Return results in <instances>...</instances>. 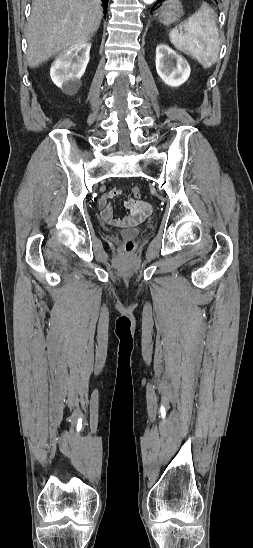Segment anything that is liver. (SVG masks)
Segmentation results:
<instances>
[{
	"mask_svg": "<svg viewBox=\"0 0 253 548\" xmlns=\"http://www.w3.org/2000/svg\"><path fill=\"white\" fill-rule=\"evenodd\" d=\"M103 9L100 0H33L26 29L27 61L31 68L87 42L98 30Z\"/></svg>",
	"mask_w": 253,
	"mask_h": 548,
	"instance_id": "1",
	"label": "liver"
}]
</instances>
